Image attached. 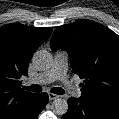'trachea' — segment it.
<instances>
[{
    "label": "trachea",
    "mask_w": 119,
    "mask_h": 119,
    "mask_svg": "<svg viewBox=\"0 0 119 119\" xmlns=\"http://www.w3.org/2000/svg\"><path fill=\"white\" fill-rule=\"evenodd\" d=\"M24 89L27 91H32V92H41L42 91V87L40 85H37V84H33L29 87H24ZM51 92L54 94H58V95H62L65 93L64 89H62L60 87H53L51 89Z\"/></svg>",
    "instance_id": "trachea-1"
}]
</instances>
